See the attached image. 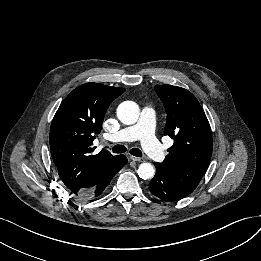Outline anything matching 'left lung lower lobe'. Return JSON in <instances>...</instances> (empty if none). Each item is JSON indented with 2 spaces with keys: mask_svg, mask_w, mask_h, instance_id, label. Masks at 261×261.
I'll use <instances>...</instances> for the list:
<instances>
[{
  "mask_svg": "<svg viewBox=\"0 0 261 261\" xmlns=\"http://www.w3.org/2000/svg\"><path fill=\"white\" fill-rule=\"evenodd\" d=\"M154 164L156 174L149 183V190L153 195L163 201L174 202L190 194L178 187L162 167Z\"/></svg>",
  "mask_w": 261,
  "mask_h": 261,
  "instance_id": "left-lung-lower-lobe-1",
  "label": "left lung lower lobe"
}]
</instances>
